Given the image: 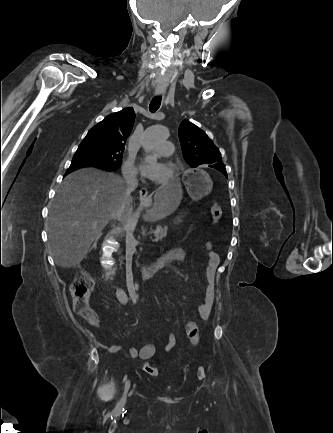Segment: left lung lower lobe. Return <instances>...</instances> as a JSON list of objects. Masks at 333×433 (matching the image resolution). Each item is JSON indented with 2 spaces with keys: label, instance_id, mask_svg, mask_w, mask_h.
<instances>
[{
  "label": "left lung lower lobe",
  "instance_id": "obj_1",
  "mask_svg": "<svg viewBox=\"0 0 333 433\" xmlns=\"http://www.w3.org/2000/svg\"><path fill=\"white\" fill-rule=\"evenodd\" d=\"M211 167H212V168H215V169H217V170H219V171H221V170L224 171L223 168H221L219 165H211ZM226 177H227V176H226Z\"/></svg>",
  "mask_w": 333,
  "mask_h": 433
}]
</instances>
